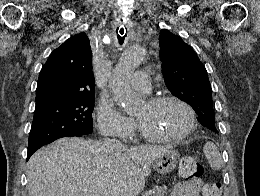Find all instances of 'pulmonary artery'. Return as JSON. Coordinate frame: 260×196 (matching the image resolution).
<instances>
[{
  "label": "pulmonary artery",
  "mask_w": 260,
  "mask_h": 196,
  "mask_svg": "<svg viewBox=\"0 0 260 196\" xmlns=\"http://www.w3.org/2000/svg\"><path fill=\"white\" fill-rule=\"evenodd\" d=\"M151 77L148 76V69H139V72H135V79H128L129 90H137L142 93H149L151 86L149 85Z\"/></svg>",
  "instance_id": "1"
}]
</instances>
